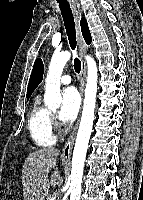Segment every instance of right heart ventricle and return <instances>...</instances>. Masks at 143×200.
I'll return each instance as SVG.
<instances>
[{
  "label": "right heart ventricle",
  "instance_id": "right-heart-ventricle-1",
  "mask_svg": "<svg viewBox=\"0 0 143 200\" xmlns=\"http://www.w3.org/2000/svg\"><path fill=\"white\" fill-rule=\"evenodd\" d=\"M27 127L33 142L42 148L54 145L56 138L52 130L50 111L35 97L29 112Z\"/></svg>",
  "mask_w": 143,
  "mask_h": 200
}]
</instances>
